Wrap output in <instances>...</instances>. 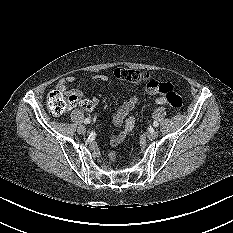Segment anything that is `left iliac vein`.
<instances>
[{
    "label": "left iliac vein",
    "mask_w": 233,
    "mask_h": 233,
    "mask_svg": "<svg viewBox=\"0 0 233 233\" xmlns=\"http://www.w3.org/2000/svg\"><path fill=\"white\" fill-rule=\"evenodd\" d=\"M157 137H158V131L157 130H151L148 133V138H150V139H155Z\"/></svg>",
    "instance_id": "obj_1"
}]
</instances>
